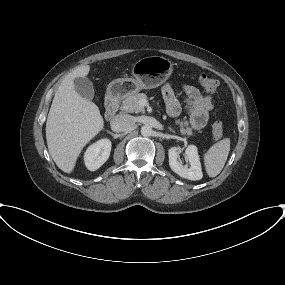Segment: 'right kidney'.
Here are the masks:
<instances>
[{"mask_svg":"<svg viewBox=\"0 0 285 285\" xmlns=\"http://www.w3.org/2000/svg\"><path fill=\"white\" fill-rule=\"evenodd\" d=\"M110 152L111 141L109 139H101L90 145L84 154L87 169L90 171L99 169L109 158Z\"/></svg>","mask_w":285,"mask_h":285,"instance_id":"obj_1","label":"right kidney"}]
</instances>
